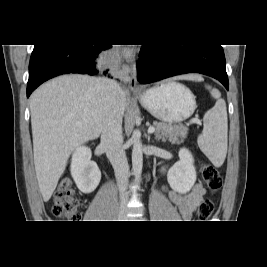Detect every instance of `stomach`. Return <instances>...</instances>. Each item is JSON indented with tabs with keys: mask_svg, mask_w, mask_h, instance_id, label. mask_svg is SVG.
Returning <instances> with one entry per match:
<instances>
[{
	"mask_svg": "<svg viewBox=\"0 0 267 267\" xmlns=\"http://www.w3.org/2000/svg\"><path fill=\"white\" fill-rule=\"evenodd\" d=\"M142 106L165 123H178L189 118L196 109L193 93L184 85L162 82L138 95Z\"/></svg>",
	"mask_w": 267,
	"mask_h": 267,
	"instance_id": "1",
	"label": "stomach"
}]
</instances>
